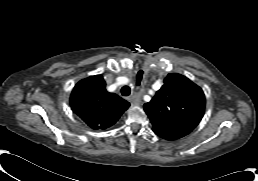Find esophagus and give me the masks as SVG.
<instances>
[{
  "mask_svg": "<svg viewBox=\"0 0 258 181\" xmlns=\"http://www.w3.org/2000/svg\"><path fill=\"white\" fill-rule=\"evenodd\" d=\"M129 99L134 105H139L141 103V99L136 93H134Z\"/></svg>",
  "mask_w": 258,
  "mask_h": 181,
  "instance_id": "1",
  "label": "esophagus"
}]
</instances>
